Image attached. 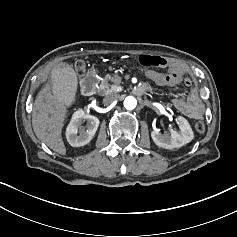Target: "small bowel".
Segmentation results:
<instances>
[{"label":"small bowel","mask_w":237,"mask_h":237,"mask_svg":"<svg viewBox=\"0 0 237 237\" xmlns=\"http://www.w3.org/2000/svg\"><path fill=\"white\" fill-rule=\"evenodd\" d=\"M168 73L176 74L177 79L169 85H176L182 78L186 75L187 70L181 64L175 61L168 62ZM146 76L155 81L158 77H160L161 73L152 69H147L145 71ZM184 84L186 87L192 86V80L190 78L184 79ZM151 87L147 83L140 84L136 91L138 93L150 91ZM173 106L182 114L186 115L192 119H202L206 115V108L202 102V99L199 95V92L196 87H192L190 93L182 98L176 97L172 99Z\"/></svg>","instance_id":"small-bowel-1"}]
</instances>
